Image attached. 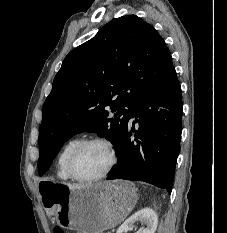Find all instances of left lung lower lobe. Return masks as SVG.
Wrapping results in <instances>:
<instances>
[{
  "label": "left lung lower lobe",
  "mask_w": 227,
  "mask_h": 233,
  "mask_svg": "<svg viewBox=\"0 0 227 233\" xmlns=\"http://www.w3.org/2000/svg\"><path fill=\"white\" fill-rule=\"evenodd\" d=\"M182 113L181 86L173 67L157 88L132 105L129 119L134 116L139 126L135 128L133 122L130 129L127 125L116 149L118 163L107 180L144 181L170 193L180 151Z\"/></svg>",
  "instance_id": "0a47b994"
}]
</instances>
